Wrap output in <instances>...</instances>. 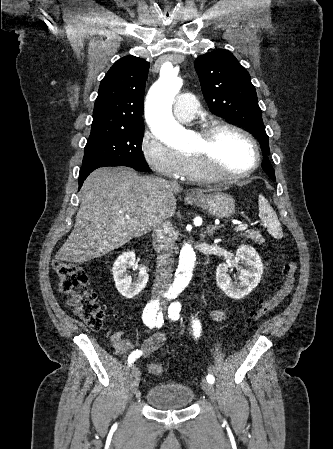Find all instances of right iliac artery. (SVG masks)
I'll return each instance as SVG.
<instances>
[{
    "mask_svg": "<svg viewBox=\"0 0 333 449\" xmlns=\"http://www.w3.org/2000/svg\"><path fill=\"white\" fill-rule=\"evenodd\" d=\"M159 310V301H151L148 303L143 311V321L146 326L149 328L161 327L164 323L162 313L158 312ZM142 355L140 350L133 351L128 357V364H132L137 358Z\"/></svg>",
    "mask_w": 333,
    "mask_h": 449,
    "instance_id": "1",
    "label": "right iliac artery"
}]
</instances>
